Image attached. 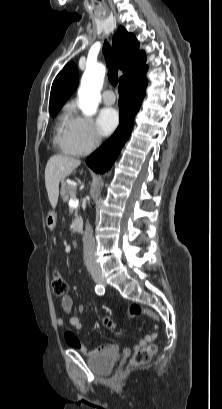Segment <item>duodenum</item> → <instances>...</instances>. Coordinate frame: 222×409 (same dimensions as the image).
<instances>
[{"instance_id":"duodenum-1","label":"duodenum","mask_w":222,"mask_h":409,"mask_svg":"<svg viewBox=\"0 0 222 409\" xmlns=\"http://www.w3.org/2000/svg\"><path fill=\"white\" fill-rule=\"evenodd\" d=\"M72 224H73V229H74L75 232H77V233H81V232H82V230H83V225H82L81 220L75 219Z\"/></svg>"}]
</instances>
